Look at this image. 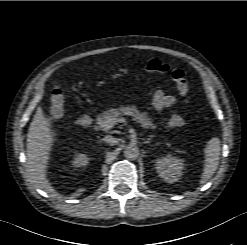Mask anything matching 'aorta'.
I'll use <instances>...</instances> for the list:
<instances>
[{
  "mask_svg": "<svg viewBox=\"0 0 247 245\" xmlns=\"http://www.w3.org/2000/svg\"><path fill=\"white\" fill-rule=\"evenodd\" d=\"M124 156L127 159L135 160L139 156V149L134 144H129L124 149Z\"/></svg>",
  "mask_w": 247,
  "mask_h": 245,
  "instance_id": "aorta-1",
  "label": "aorta"
}]
</instances>
